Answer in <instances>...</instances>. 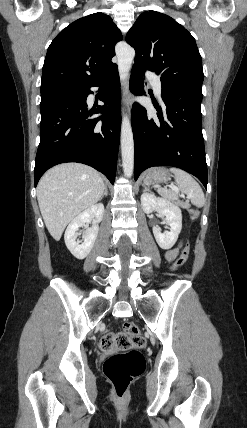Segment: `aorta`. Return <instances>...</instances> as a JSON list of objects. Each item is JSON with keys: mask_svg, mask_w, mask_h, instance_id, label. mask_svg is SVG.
I'll return each instance as SVG.
<instances>
[{"mask_svg": "<svg viewBox=\"0 0 247 428\" xmlns=\"http://www.w3.org/2000/svg\"><path fill=\"white\" fill-rule=\"evenodd\" d=\"M135 51L129 45L117 49L118 70L121 81H126L132 66ZM121 153L124 174L131 177L134 169V139L129 118L124 115L121 123Z\"/></svg>", "mask_w": 247, "mask_h": 428, "instance_id": "1", "label": "aorta"}]
</instances>
